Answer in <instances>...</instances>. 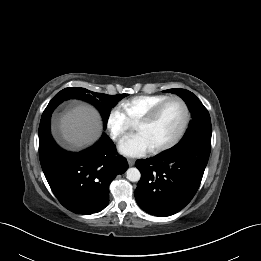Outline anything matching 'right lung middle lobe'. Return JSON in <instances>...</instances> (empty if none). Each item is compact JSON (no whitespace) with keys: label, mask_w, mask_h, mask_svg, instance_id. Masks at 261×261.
<instances>
[{"label":"right lung middle lobe","mask_w":261,"mask_h":261,"mask_svg":"<svg viewBox=\"0 0 261 261\" xmlns=\"http://www.w3.org/2000/svg\"><path fill=\"white\" fill-rule=\"evenodd\" d=\"M127 95L128 94L107 95L91 92L85 88H65L54 96L43 113L52 112L57 105L67 99H81L93 104L100 111L104 121V127H106L110 109Z\"/></svg>","instance_id":"1"}]
</instances>
